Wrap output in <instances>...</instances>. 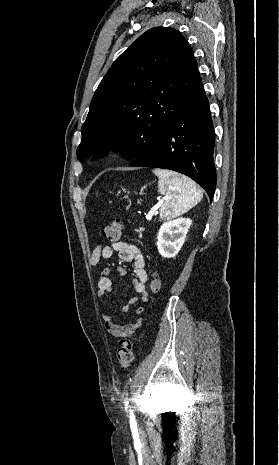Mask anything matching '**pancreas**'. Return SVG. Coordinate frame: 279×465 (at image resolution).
Masks as SVG:
<instances>
[{"label": "pancreas", "mask_w": 279, "mask_h": 465, "mask_svg": "<svg viewBox=\"0 0 279 465\" xmlns=\"http://www.w3.org/2000/svg\"><path fill=\"white\" fill-rule=\"evenodd\" d=\"M137 231H138V232H139V234L141 235V232H143V231H144V228H143V227H140V228H139Z\"/></svg>", "instance_id": "obj_1"}]
</instances>
